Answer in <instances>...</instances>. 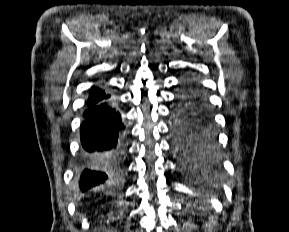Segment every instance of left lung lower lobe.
Instances as JSON below:
<instances>
[{
  "label": "left lung lower lobe",
  "instance_id": "1",
  "mask_svg": "<svg viewBox=\"0 0 289 232\" xmlns=\"http://www.w3.org/2000/svg\"><path fill=\"white\" fill-rule=\"evenodd\" d=\"M184 98L186 105L181 114L186 113L203 136L216 141V128L213 117L207 107L204 94L195 86L192 78L186 82Z\"/></svg>",
  "mask_w": 289,
  "mask_h": 232
}]
</instances>
